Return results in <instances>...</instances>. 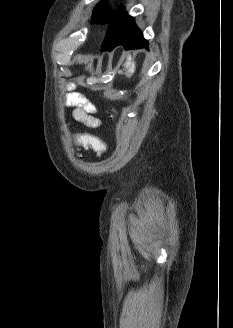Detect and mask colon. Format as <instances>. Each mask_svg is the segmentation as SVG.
Here are the masks:
<instances>
[{
    "label": "colon",
    "mask_w": 233,
    "mask_h": 328,
    "mask_svg": "<svg viewBox=\"0 0 233 328\" xmlns=\"http://www.w3.org/2000/svg\"><path fill=\"white\" fill-rule=\"evenodd\" d=\"M124 68L127 74L131 72L132 63L130 58H128L124 63ZM77 142L80 146L91 148L94 152L98 154L104 152L106 149L105 144L98 137L89 134L79 135L77 138Z\"/></svg>",
    "instance_id": "obj_1"
}]
</instances>
